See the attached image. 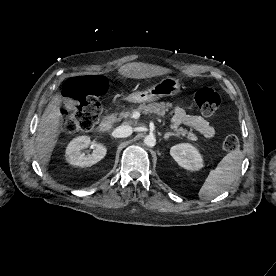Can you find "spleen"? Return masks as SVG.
<instances>
[{
	"label": "spleen",
	"mask_w": 276,
	"mask_h": 276,
	"mask_svg": "<svg viewBox=\"0 0 276 276\" xmlns=\"http://www.w3.org/2000/svg\"><path fill=\"white\" fill-rule=\"evenodd\" d=\"M243 158V153L240 150L228 153L217 167L209 172L198 193L199 198L209 200L223 193L234 182Z\"/></svg>",
	"instance_id": "1"
}]
</instances>
